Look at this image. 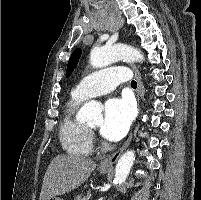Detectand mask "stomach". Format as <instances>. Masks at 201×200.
<instances>
[{
	"label": "stomach",
	"instance_id": "stomach-1",
	"mask_svg": "<svg viewBox=\"0 0 201 200\" xmlns=\"http://www.w3.org/2000/svg\"><path fill=\"white\" fill-rule=\"evenodd\" d=\"M108 171H109L108 169H100V173H102V174H105V173H107ZM46 200H63V199L60 198V197L55 196V197L48 198V199H46Z\"/></svg>",
	"mask_w": 201,
	"mask_h": 200
}]
</instances>
